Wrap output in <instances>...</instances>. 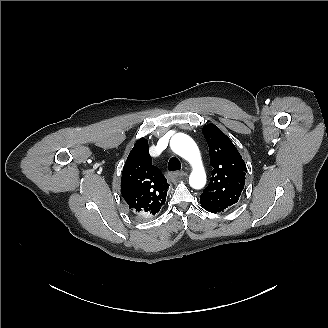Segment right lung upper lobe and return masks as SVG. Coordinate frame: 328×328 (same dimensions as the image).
<instances>
[{"mask_svg": "<svg viewBox=\"0 0 328 328\" xmlns=\"http://www.w3.org/2000/svg\"><path fill=\"white\" fill-rule=\"evenodd\" d=\"M151 163L148 141L140 138L125 162L121 178L122 197L137 217L154 216L166 201L169 185L161 171Z\"/></svg>", "mask_w": 328, "mask_h": 328, "instance_id": "obj_1", "label": "right lung upper lobe"}]
</instances>
